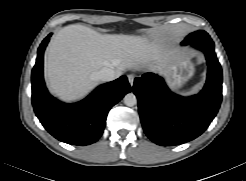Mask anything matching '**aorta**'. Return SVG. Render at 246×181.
<instances>
[{
	"label": "aorta",
	"instance_id": "1",
	"mask_svg": "<svg viewBox=\"0 0 246 181\" xmlns=\"http://www.w3.org/2000/svg\"><path fill=\"white\" fill-rule=\"evenodd\" d=\"M124 104L126 106L132 107L137 104V98L133 93H128L124 96Z\"/></svg>",
	"mask_w": 246,
	"mask_h": 181
}]
</instances>
